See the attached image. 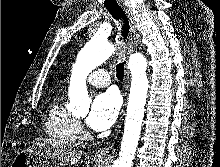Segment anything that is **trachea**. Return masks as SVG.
I'll return each mask as SVG.
<instances>
[{"instance_id": "1", "label": "trachea", "mask_w": 220, "mask_h": 167, "mask_svg": "<svg viewBox=\"0 0 220 167\" xmlns=\"http://www.w3.org/2000/svg\"><path fill=\"white\" fill-rule=\"evenodd\" d=\"M108 11L110 14L118 21H122V30H121V35L123 37V40L127 39L128 33H129V22L127 19V16L125 12L122 10V8L119 5H113V6H107ZM116 71H117V78L122 81L124 77V62H120L116 66Z\"/></svg>"}]
</instances>
